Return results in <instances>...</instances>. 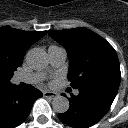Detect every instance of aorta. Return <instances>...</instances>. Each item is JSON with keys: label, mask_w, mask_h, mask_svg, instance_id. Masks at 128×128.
<instances>
[{"label": "aorta", "mask_w": 128, "mask_h": 128, "mask_svg": "<svg viewBox=\"0 0 128 128\" xmlns=\"http://www.w3.org/2000/svg\"><path fill=\"white\" fill-rule=\"evenodd\" d=\"M26 62L33 69H43L48 64L47 53L42 49H31L26 54ZM69 101L64 96H55L52 101V108L56 113L63 114L69 110Z\"/></svg>", "instance_id": "obj_1"}]
</instances>
